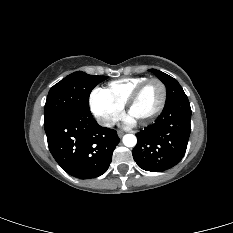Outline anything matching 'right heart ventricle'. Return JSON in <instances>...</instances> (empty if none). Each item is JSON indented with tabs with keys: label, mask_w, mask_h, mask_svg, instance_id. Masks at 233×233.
<instances>
[{
	"label": "right heart ventricle",
	"mask_w": 233,
	"mask_h": 233,
	"mask_svg": "<svg viewBox=\"0 0 233 233\" xmlns=\"http://www.w3.org/2000/svg\"><path fill=\"white\" fill-rule=\"evenodd\" d=\"M147 79V77H131L119 79L109 82L103 90L113 102L124 107L133 90Z\"/></svg>",
	"instance_id": "right-heart-ventricle-1"
}]
</instances>
